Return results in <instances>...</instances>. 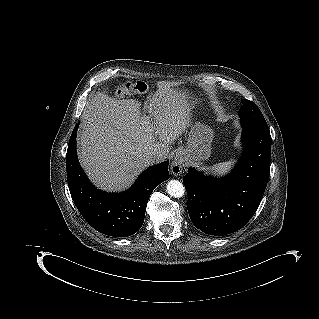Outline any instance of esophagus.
I'll return each mask as SVG.
<instances>
[{
    "label": "esophagus",
    "mask_w": 319,
    "mask_h": 319,
    "mask_svg": "<svg viewBox=\"0 0 319 319\" xmlns=\"http://www.w3.org/2000/svg\"><path fill=\"white\" fill-rule=\"evenodd\" d=\"M184 158L181 152H176L172 158L170 171L174 176H178L184 169Z\"/></svg>",
    "instance_id": "34e87169"
}]
</instances>
